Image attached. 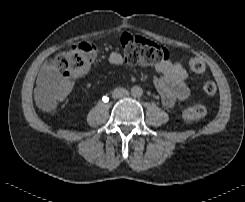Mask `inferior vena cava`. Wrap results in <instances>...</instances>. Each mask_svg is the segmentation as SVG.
I'll list each match as a JSON object with an SVG mask.
<instances>
[{"instance_id": "602c4592", "label": "inferior vena cava", "mask_w": 245, "mask_h": 202, "mask_svg": "<svg viewBox=\"0 0 245 202\" xmlns=\"http://www.w3.org/2000/svg\"><path fill=\"white\" fill-rule=\"evenodd\" d=\"M128 95H129V92L124 88H116L112 92V96L114 99L123 98V97H126Z\"/></svg>"}]
</instances>
